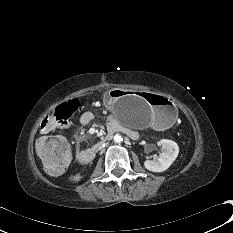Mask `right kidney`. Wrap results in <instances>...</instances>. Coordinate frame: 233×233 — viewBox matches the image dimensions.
<instances>
[{
    "instance_id": "right-kidney-1",
    "label": "right kidney",
    "mask_w": 233,
    "mask_h": 233,
    "mask_svg": "<svg viewBox=\"0 0 233 233\" xmlns=\"http://www.w3.org/2000/svg\"><path fill=\"white\" fill-rule=\"evenodd\" d=\"M80 179H81V176H79V175H76L73 177L74 181H80Z\"/></svg>"
}]
</instances>
